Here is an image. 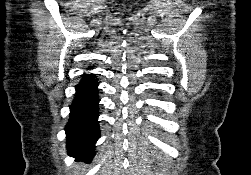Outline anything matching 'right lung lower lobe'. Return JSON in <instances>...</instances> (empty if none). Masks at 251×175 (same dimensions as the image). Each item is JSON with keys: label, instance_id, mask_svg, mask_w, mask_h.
Returning a JSON list of instances; mask_svg holds the SVG:
<instances>
[{"label": "right lung lower lobe", "instance_id": "obj_1", "mask_svg": "<svg viewBox=\"0 0 251 175\" xmlns=\"http://www.w3.org/2000/svg\"><path fill=\"white\" fill-rule=\"evenodd\" d=\"M93 74H83L76 86V98L70 106V120L65 127L68 154L90 161L100 137L97 80Z\"/></svg>", "mask_w": 251, "mask_h": 175}]
</instances>
